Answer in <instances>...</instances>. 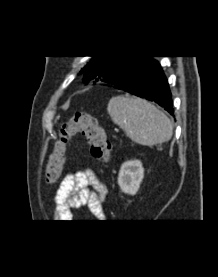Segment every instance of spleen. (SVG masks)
I'll use <instances>...</instances> for the list:
<instances>
[{
	"mask_svg": "<svg viewBox=\"0 0 218 277\" xmlns=\"http://www.w3.org/2000/svg\"><path fill=\"white\" fill-rule=\"evenodd\" d=\"M107 111L112 121L134 142L153 146L168 141L173 133L170 119L148 101L130 96H115Z\"/></svg>",
	"mask_w": 218,
	"mask_h": 277,
	"instance_id": "obj_1",
	"label": "spleen"
}]
</instances>
